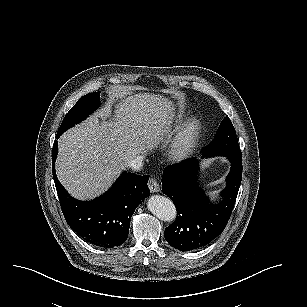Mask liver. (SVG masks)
<instances>
[{"label":"liver","instance_id":"6515ba94","mask_svg":"<svg viewBox=\"0 0 307 307\" xmlns=\"http://www.w3.org/2000/svg\"><path fill=\"white\" fill-rule=\"evenodd\" d=\"M174 116V104L167 98L111 95L99 112L58 139V180L76 199L99 196L129 161L168 143Z\"/></svg>","mask_w":307,"mask_h":307}]
</instances>
